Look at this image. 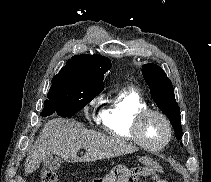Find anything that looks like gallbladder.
<instances>
[{"mask_svg": "<svg viewBox=\"0 0 211 182\" xmlns=\"http://www.w3.org/2000/svg\"><path fill=\"white\" fill-rule=\"evenodd\" d=\"M44 167L49 171H57L61 164V159L57 155H50L43 160Z\"/></svg>", "mask_w": 211, "mask_h": 182, "instance_id": "bac80fb5", "label": "gallbladder"}]
</instances>
